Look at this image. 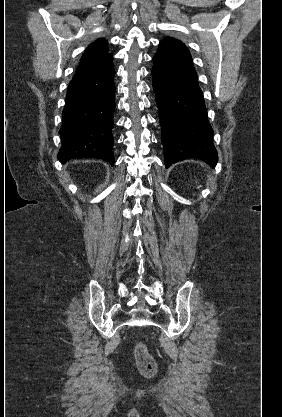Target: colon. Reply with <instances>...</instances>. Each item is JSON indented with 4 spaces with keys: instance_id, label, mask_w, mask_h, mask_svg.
<instances>
[{
    "instance_id": "1",
    "label": "colon",
    "mask_w": 282,
    "mask_h": 417,
    "mask_svg": "<svg viewBox=\"0 0 282 417\" xmlns=\"http://www.w3.org/2000/svg\"><path fill=\"white\" fill-rule=\"evenodd\" d=\"M134 359L138 370L145 376H153L157 371V363L153 356L148 352L143 341H139L135 346Z\"/></svg>"
}]
</instances>
